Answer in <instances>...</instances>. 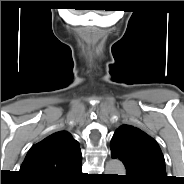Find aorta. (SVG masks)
Returning <instances> with one entry per match:
<instances>
[{"label":"aorta","mask_w":184,"mask_h":184,"mask_svg":"<svg viewBox=\"0 0 184 184\" xmlns=\"http://www.w3.org/2000/svg\"><path fill=\"white\" fill-rule=\"evenodd\" d=\"M106 174L125 175V168L121 161L117 159L110 160L106 163Z\"/></svg>","instance_id":"aorta-1"}]
</instances>
